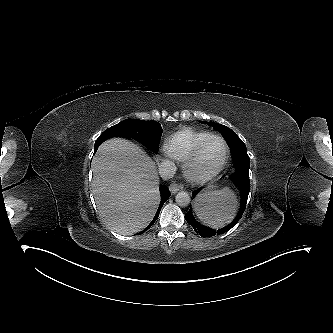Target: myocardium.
<instances>
[{
    "label": "myocardium",
    "mask_w": 333,
    "mask_h": 333,
    "mask_svg": "<svg viewBox=\"0 0 333 333\" xmlns=\"http://www.w3.org/2000/svg\"><path fill=\"white\" fill-rule=\"evenodd\" d=\"M212 139H218L223 143V145H224L223 158H222L220 164L213 171H211L209 173H197L194 170V164L198 160V158H199L202 150L204 149V147ZM228 157H229V146H228L227 141L219 135L210 134L208 137L203 139L195 147V149L192 151V153L184 161V165H183L184 173H185L186 177L194 183L208 182V181L214 179L216 176H218L220 174V172L224 169V167L227 163Z\"/></svg>",
    "instance_id": "1"
}]
</instances>
